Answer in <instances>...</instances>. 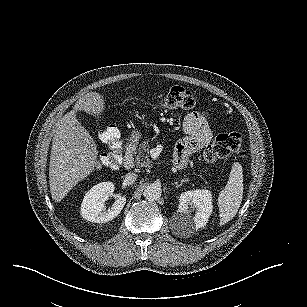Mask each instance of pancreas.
Returning a JSON list of instances; mask_svg holds the SVG:
<instances>
[{"instance_id": "cf45deb5", "label": "pancreas", "mask_w": 307, "mask_h": 307, "mask_svg": "<svg viewBox=\"0 0 307 307\" xmlns=\"http://www.w3.org/2000/svg\"><path fill=\"white\" fill-rule=\"evenodd\" d=\"M150 145L143 142L135 152V164L137 167L152 168V161L149 159Z\"/></svg>"}]
</instances>
